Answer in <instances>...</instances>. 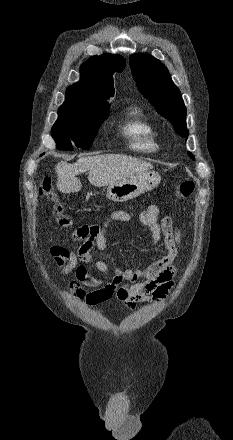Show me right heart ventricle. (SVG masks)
I'll return each mask as SVG.
<instances>
[{"mask_svg":"<svg viewBox=\"0 0 233 440\" xmlns=\"http://www.w3.org/2000/svg\"><path fill=\"white\" fill-rule=\"evenodd\" d=\"M119 131L135 153L151 154L160 148L156 126L137 107L128 110Z\"/></svg>","mask_w":233,"mask_h":440,"instance_id":"right-heart-ventricle-1","label":"right heart ventricle"}]
</instances>
